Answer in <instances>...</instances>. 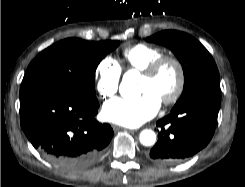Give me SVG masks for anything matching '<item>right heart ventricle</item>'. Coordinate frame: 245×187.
I'll return each instance as SVG.
<instances>
[{
	"instance_id": "1",
	"label": "right heart ventricle",
	"mask_w": 245,
	"mask_h": 187,
	"mask_svg": "<svg viewBox=\"0 0 245 187\" xmlns=\"http://www.w3.org/2000/svg\"><path fill=\"white\" fill-rule=\"evenodd\" d=\"M164 55V50L157 46L138 43L125 47L122 57L130 69L143 71L152 61Z\"/></svg>"
}]
</instances>
